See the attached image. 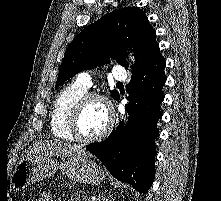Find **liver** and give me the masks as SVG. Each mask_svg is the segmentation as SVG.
Masks as SVG:
<instances>
[{
	"label": "liver",
	"mask_w": 221,
	"mask_h": 201,
	"mask_svg": "<svg viewBox=\"0 0 221 201\" xmlns=\"http://www.w3.org/2000/svg\"><path fill=\"white\" fill-rule=\"evenodd\" d=\"M49 155V156H72V155H88V153L80 145H71L57 141H44L33 144L27 151V156L31 155ZM26 156V157H27Z\"/></svg>",
	"instance_id": "6515ba94"
}]
</instances>
